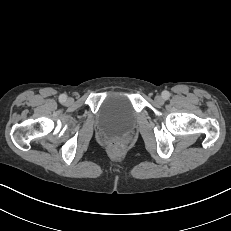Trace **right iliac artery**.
<instances>
[{"instance_id":"right-iliac-artery-1","label":"right iliac artery","mask_w":231,"mask_h":231,"mask_svg":"<svg viewBox=\"0 0 231 231\" xmlns=\"http://www.w3.org/2000/svg\"><path fill=\"white\" fill-rule=\"evenodd\" d=\"M66 99H67V96H66L65 94H62V95H60V97H59V101H60L61 103L65 102Z\"/></svg>"}]
</instances>
